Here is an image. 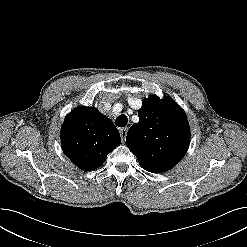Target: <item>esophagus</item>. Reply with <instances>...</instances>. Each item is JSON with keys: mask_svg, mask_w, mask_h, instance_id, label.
<instances>
[{"mask_svg": "<svg viewBox=\"0 0 247 247\" xmlns=\"http://www.w3.org/2000/svg\"><path fill=\"white\" fill-rule=\"evenodd\" d=\"M127 132H128V127L120 128V135H121L122 142L125 141Z\"/></svg>", "mask_w": 247, "mask_h": 247, "instance_id": "1", "label": "esophagus"}]
</instances>
